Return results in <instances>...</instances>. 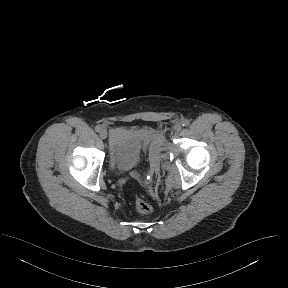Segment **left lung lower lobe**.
Instances as JSON below:
<instances>
[{
    "instance_id": "0a47b994",
    "label": "left lung lower lobe",
    "mask_w": 288,
    "mask_h": 288,
    "mask_svg": "<svg viewBox=\"0 0 288 288\" xmlns=\"http://www.w3.org/2000/svg\"><path fill=\"white\" fill-rule=\"evenodd\" d=\"M264 210V202L261 199H257L248 209L247 214L250 216L257 217Z\"/></svg>"
}]
</instances>
